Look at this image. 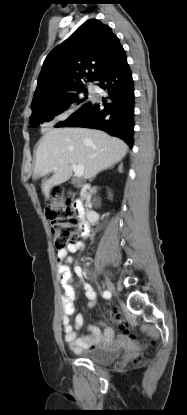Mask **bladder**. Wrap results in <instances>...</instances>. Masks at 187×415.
Instances as JSON below:
<instances>
[{"label":"bladder","instance_id":"obj_1","mask_svg":"<svg viewBox=\"0 0 187 415\" xmlns=\"http://www.w3.org/2000/svg\"><path fill=\"white\" fill-rule=\"evenodd\" d=\"M122 353V348L96 349L78 352L79 356L100 365L116 362Z\"/></svg>","mask_w":187,"mask_h":415}]
</instances>
